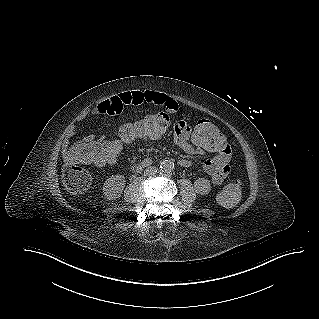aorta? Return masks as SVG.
<instances>
[{
	"label": "aorta",
	"instance_id": "aorta-1",
	"mask_svg": "<svg viewBox=\"0 0 319 319\" xmlns=\"http://www.w3.org/2000/svg\"><path fill=\"white\" fill-rule=\"evenodd\" d=\"M173 168H174V164L170 160H163L160 163V169L162 172H165V173L171 172Z\"/></svg>",
	"mask_w": 319,
	"mask_h": 319
}]
</instances>
